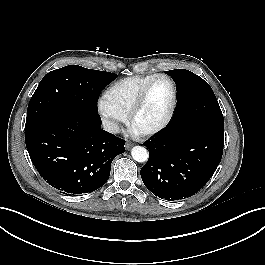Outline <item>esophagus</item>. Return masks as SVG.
I'll return each mask as SVG.
<instances>
[{
  "mask_svg": "<svg viewBox=\"0 0 265 265\" xmlns=\"http://www.w3.org/2000/svg\"><path fill=\"white\" fill-rule=\"evenodd\" d=\"M131 146H132L131 143H126V144H125V148H126L127 150H128Z\"/></svg>",
  "mask_w": 265,
  "mask_h": 265,
  "instance_id": "34e87169",
  "label": "esophagus"
}]
</instances>
